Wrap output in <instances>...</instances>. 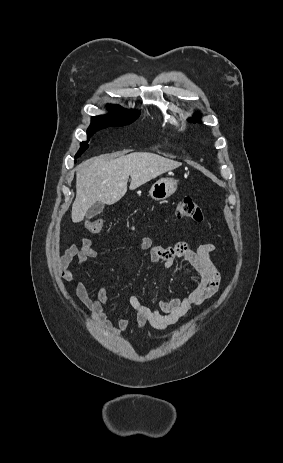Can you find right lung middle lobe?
I'll return each mask as SVG.
<instances>
[{
  "instance_id": "obj_1",
  "label": "right lung middle lobe",
  "mask_w": 283,
  "mask_h": 463,
  "mask_svg": "<svg viewBox=\"0 0 283 463\" xmlns=\"http://www.w3.org/2000/svg\"><path fill=\"white\" fill-rule=\"evenodd\" d=\"M140 115L138 110H126L120 106H113L111 113L108 115L94 116L91 120V126L87 130L88 138L91 137L97 130L108 126H124L135 121ZM88 141L81 143V148L75 155L79 157L87 148Z\"/></svg>"
}]
</instances>
